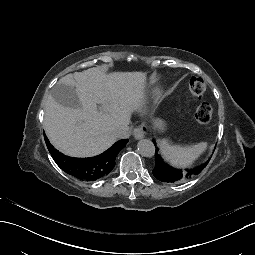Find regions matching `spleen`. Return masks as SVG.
Wrapping results in <instances>:
<instances>
[{
    "mask_svg": "<svg viewBox=\"0 0 255 255\" xmlns=\"http://www.w3.org/2000/svg\"><path fill=\"white\" fill-rule=\"evenodd\" d=\"M206 143L199 142L191 145L173 144L171 140L164 139L160 142L163 156L173 165L187 166L197 158L205 149Z\"/></svg>",
    "mask_w": 255,
    "mask_h": 255,
    "instance_id": "spleen-1",
    "label": "spleen"
}]
</instances>
